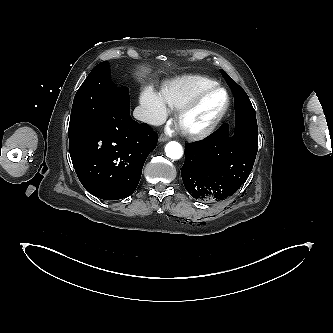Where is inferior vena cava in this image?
I'll return each instance as SVG.
<instances>
[{
    "label": "inferior vena cava",
    "instance_id": "602c4592",
    "mask_svg": "<svg viewBox=\"0 0 333 333\" xmlns=\"http://www.w3.org/2000/svg\"><path fill=\"white\" fill-rule=\"evenodd\" d=\"M133 116L137 120L151 125H160L162 123L150 110L142 106H138L134 109Z\"/></svg>",
    "mask_w": 333,
    "mask_h": 333
}]
</instances>
